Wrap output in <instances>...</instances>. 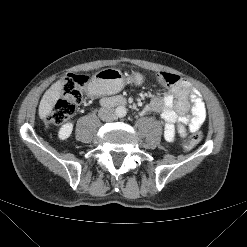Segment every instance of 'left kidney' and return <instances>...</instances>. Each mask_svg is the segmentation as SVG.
Masks as SVG:
<instances>
[{
  "label": "left kidney",
  "instance_id": "1",
  "mask_svg": "<svg viewBox=\"0 0 247 247\" xmlns=\"http://www.w3.org/2000/svg\"><path fill=\"white\" fill-rule=\"evenodd\" d=\"M178 132L181 137H185L187 135L186 130L183 125L178 126Z\"/></svg>",
  "mask_w": 247,
  "mask_h": 247
}]
</instances>
